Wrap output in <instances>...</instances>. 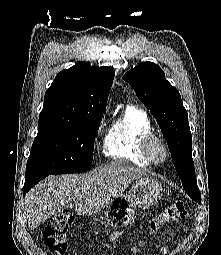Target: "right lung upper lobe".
<instances>
[{"instance_id":"1","label":"right lung upper lobe","mask_w":221,"mask_h":255,"mask_svg":"<svg viewBox=\"0 0 221 255\" xmlns=\"http://www.w3.org/2000/svg\"><path fill=\"white\" fill-rule=\"evenodd\" d=\"M113 79L111 67L86 62L61 71L45 93L40 117L84 119L105 111Z\"/></svg>"}]
</instances>
